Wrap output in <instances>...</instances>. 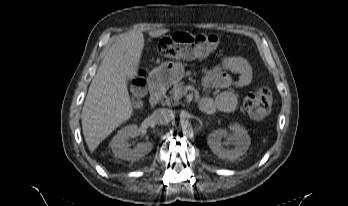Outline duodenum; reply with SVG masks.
Returning a JSON list of instances; mask_svg holds the SVG:
<instances>
[{
    "label": "duodenum",
    "instance_id": "duodenum-1",
    "mask_svg": "<svg viewBox=\"0 0 348 206\" xmlns=\"http://www.w3.org/2000/svg\"><path fill=\"white\" fill-rule=\"evenodd\" d=\"M150 87V98L149 103L151 107H156L161 98L164 95V87L162 86L160 80L158 78H151L149 81Z\"/></svg>",
    "mask_w": 348,
    "mask_h": 206
}]
</instances>
